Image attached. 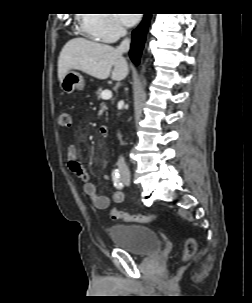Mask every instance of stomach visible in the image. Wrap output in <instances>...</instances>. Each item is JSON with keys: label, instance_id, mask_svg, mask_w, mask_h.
I'll return each mask as SVG.
<instances>
[{"label": "stomach", "instance_id": "0dacf381", "mask_svg": "<svg viewBox=\"0 0 252 303\" xmlns=\"http://www.w3.org/2000/svg\"><path fill=\"white\" fill-rule=\"evenodd\" d=\"M60 88L63 92L70 94L74 90H82L84 88V80L80 73L69 71L60 81Z\"/></svg>", "mask_w": 252, "mask_h": 303}]
</instances>
